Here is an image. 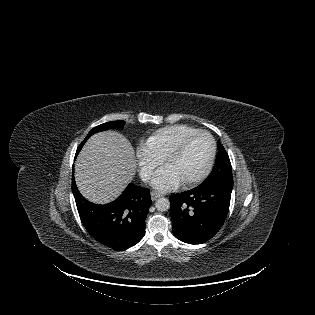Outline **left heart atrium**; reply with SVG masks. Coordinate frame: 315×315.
<instances>
[{"label":"left heart atrium","instance_id":"obj_1","mask_svg":"<svg viewBox=\"0 0 315 315\" xmlns=\"http://www.w3.org/2000/svg\"><path fill=\"white\" fill-rule=\"evenodd\" d=\"M181 180L167 166L158 170L152 180V185L159 190H169L179 185Z\"/></svg>","mask_w":315,"mask_h":315}]
</instances>
